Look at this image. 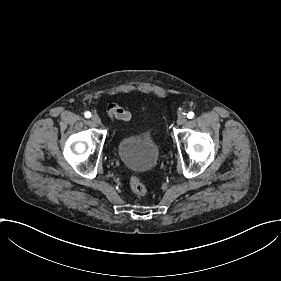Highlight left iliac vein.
Segmentation results:
<instances>
[{"label":"left iliac vein","mask_w":281,"mask_h":281,"mask_svg":"<svg viewBox=\"0 0 281 281\" xmlns=\"http://www.w3.org/2000/svg\"><path fill=\"white\" fill-rule=\"evenodd\" d=\"M187 120H188L187 117L183 115V116L178 117L177 122H178V124L183 125L187 122Z\"/></svg>","instance_id":"left-iliac-vein-1"}]
</instances>
